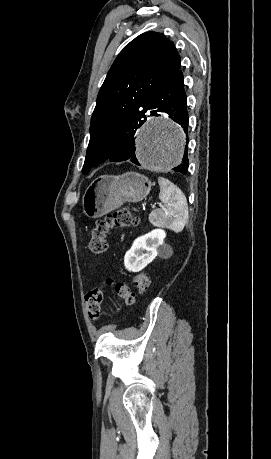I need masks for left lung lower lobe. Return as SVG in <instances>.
I'll use <instances>...</instances> for the list:
<instances>
[{
  "mask_svg": "<svg viewBox=\"0 0 271 459\" xmlns=\"http://www.w3.org/2000/svg\"><path fill=\"white\" fill-rule=\"evenodd\" d=\"M148 112L151 116H159L157 112L167 113L172 120L177 122L187 135L188 113L186 107V93L184 91L183 73L179 69L166 77L148 94ZM146 111V112H147ZM146 121L143 114L139 120L135 119L131 124L124 128L117 136V146L115 151L106 161L120 162L130 160L140 165L135 157L134 135L139 127ZM188 144V140L186 141ZM187 145L182 163L173 168L174 171L186 174L189 161L187 158Z\"/></svg>",
  "mask_w": 271,
  "mask_h": 459,
  "instance_id": "left-lung-lower-lobe-1",
  "label": "left lung lower lobe"
}]
</instances>
